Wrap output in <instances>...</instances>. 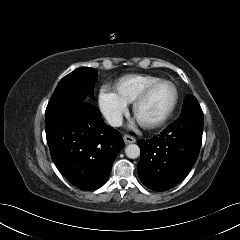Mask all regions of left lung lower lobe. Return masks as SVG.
<instances>
[{"label": "left lung lower lobe", "instance_id": "left-lung-lower-lobe-1", "mask_svg": "<svg viewBox=\"0 0 240 240\" xmlns=\"http://www.w3.org/2000/svg\"><path fill=\"white\" fill-rule=\"evenodd\" d=\"M202 132L203 112L195 106L182 110L158 137L139 140L140 181L154 191H166L182 181L197 160Z\"/></svg>", "mask_w": 240, "mask_h": 240}]
</instances>
